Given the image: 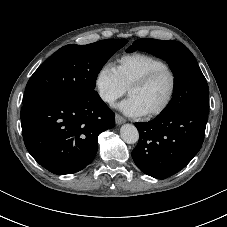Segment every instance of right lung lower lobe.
I'll use <instances>...</instances> for the list:
<instances>
[{
    "label": "right lung lower lobe",
    "instance_id": "1",
    "mask_svg": "<svg viewBox=\"0 0 227 227\" xmlns=\"http://www.w3.org/2000/svg\"><path fill=\"white\" fill-rule=\"evenodd\" d=\"M21 126L32 157L54 174H71L90 164L98 135L115 126L114 113L99 95H54L23 104Z\"/></svg>",
    "mask_w": 227,
    "mask_h": 227
}]
</instances>
